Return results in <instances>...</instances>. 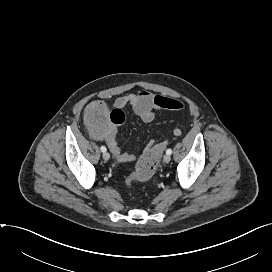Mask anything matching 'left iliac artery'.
Here are the masks:
<instances>
[{
    "label": "left iliac artery",
    "mask_w": 272,
    "mask_h": 272,
    "mask_svg": "<svg viewBox=\"0 0 272 272\" xmlns=\"http://www.w3.org/2000/svg\"><path fill=\"white\" fill-rule=\"evenodd\" d=\"M166 154L171 155V154H172V150H171V149H167V150H166Z\"/></svg>",
    "instance_id": "1"
}]
</instances>
